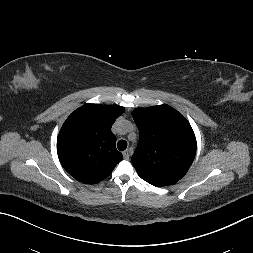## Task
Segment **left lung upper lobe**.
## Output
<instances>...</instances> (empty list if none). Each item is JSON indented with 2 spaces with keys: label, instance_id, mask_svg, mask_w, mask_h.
I'll list each match as a JSON object with an SVG mask.
<instances>
[{
  "label": "left lung upper lobe",
  "instance_id": "1",
  "mask_svg": "<svg viewBox=\"0 0 253 253\" xmlns=\"http://www.w3.org/2000/svg\"><path fill=\"white\" fill-rule=\"evenodd\" d=\"M132 116L140 135L131 159L138 175L156 187L175 184L195 157L196 138L191 125L165 104L136 108Z\"/></svg>",
  "mask_w": 253,
  "mask_h": 253
}]
</instances>
